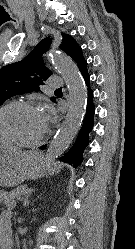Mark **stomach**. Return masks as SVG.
I'll return each instance as SVG.
<instances>
[{
    "label": "stomach",
    "instance_id": "obj_1",
    "mask_svg": "<svg viewBox=\"0 0 135 249\" xmlns=\"http://www.w3.org/2000/svg\"><path fill=\"white\" fill-rule=\"evenodd\" d=\"M43 170L45 166L38 151L0 148V186H16L26 179L38 177Z\"/></svg>",
    "mask_w": 135,
    "mask_h": 249
}]
</instances>
